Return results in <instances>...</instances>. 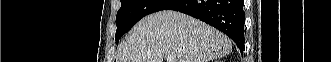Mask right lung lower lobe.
<instances>
[{
  "mask_svg": "<svg viewBox=\"0 0 331 62\" xmlns=\"http://www.w3.org/2000/svg\"><path fill=\"white\" fill-rule=\"evenodd\" d=\"M244 0H175L162 10H175L217 28L230 37L243 53Z\"/></svg>",
  "mask_w": 331,
  "mask_h": 62,
  "instance_id": "obj_1",
  "label": "right lung lower lobe"
}]
</instances>
